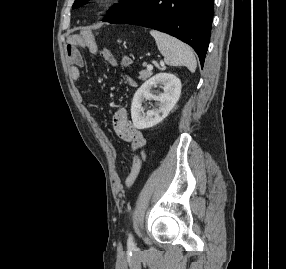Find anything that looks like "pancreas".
<instances>
[{"label":"pancreas","mask_w":286,"mask_h":269,"mask_svg":"<svg viewBox=\"0 0 286 269\" xmlns=\"http://www.w3.org/2000/svg\"><path fill=\"white\" fill-rule=\"evenodd\" d=\"M139 74H140L139 78L142 79V80H145V79L149 78L152 75V71L142 70V71H140Z\"/></svg>","instance_id":"cf45deb5"}]
</instances>
